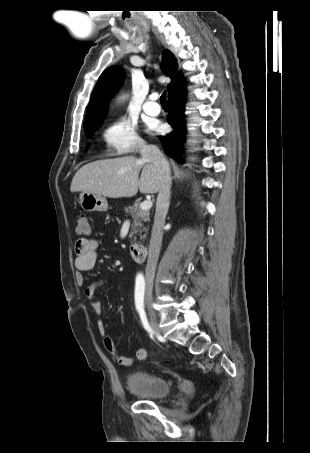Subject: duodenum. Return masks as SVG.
<instances>
[{"mask_svg":"<svg viewBox=\"0 0 310 453\" xmlns=\"http://www.w3.org/2000/svg\"><path fill=\"white\" fill-rule=\"evenodd\" d=\"M131 255L136 262H144L148 256V248L144 244L134 243L130 247Z\"/></svg>","mask_w":310,"mask_h":453,"instance_id":"410a0bca","label":"duodenum"}]
</instances>
